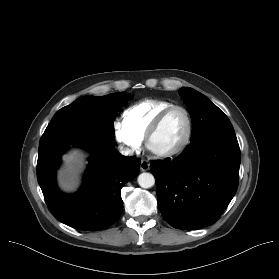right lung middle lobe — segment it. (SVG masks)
Returning <instances> with one entry per match:
<instances>
[{"label": "right lung middle lobe", "mask_w": 279, "mask_h": 279, "mask_svg": "<svg viewBox=\"0 0 279 279\" xmlns=\"http://www.w3.org/2000/svg\"><path fill=\"white\" fill-rule=\"evenodd\" d=\"M130 97V94L122 92L101 97H81L57 111L45 132L62 126L84 125L114 140V120Z\"/></svg>", "instance_id": "right-lung-middle-lobe-1"}]
</instances>
